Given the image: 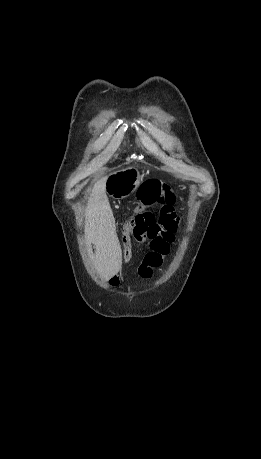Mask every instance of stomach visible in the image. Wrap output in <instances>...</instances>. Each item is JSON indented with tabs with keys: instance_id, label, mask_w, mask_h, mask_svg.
Returning a JSON list of instances; mask_svg holds the SVG:
<instances>
[{
	"instance_id": "obj_1",
	"label": "stomach",
	"mask_w": 261,
	"mask_h": 459,
	"mask_svg": "<svg viewBox=\"0 0 261 459\" xmlns=\"http://www.w3.org/2000/svg\"><path fill=\"white\" fill-rule=\"evenodd\" d=\"M140 180L139 170L133 167L113 172L106 178V194L117 200L126 198L138 188Z\"/></svg>"
}]
</instances>
